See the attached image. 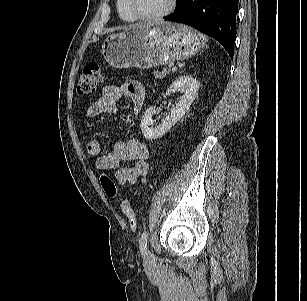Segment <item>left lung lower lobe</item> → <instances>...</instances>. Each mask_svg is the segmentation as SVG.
<instances>
[{"label": "left lung lower lobe", "mask_w": 307, "mask_h": 301, "mask_svg": "<svg viewBox=\"0 0 307 301\" xmlns=\"http://www.w3.org/2000/svg\"><path fill=\"white\" fill-rule=\"evenodd\" d=\"M237 0H178L165 20L190 25L220 42L233 58Z\"/></svg>", "instance_id": "1"}]
</instances>
